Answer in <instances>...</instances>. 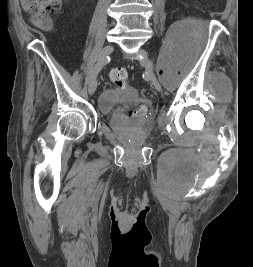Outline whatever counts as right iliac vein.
<instances>
[{"instance_id": "63e3f726", "label": "right iliac vein", "mask_w": 253, "mask_h": 267, "mask_svg": "<svg viewBox=\"0 0 253 267\" xmlns=\"http://www.w3.org/2000/svg\"><path fill=\"white\" fill-rule=\"evenodd\" d=\"M113 52V46L111 45H106L101 53H100V58H106L108 55H110ZM97 88V79L96 76L89 82V87L88 91L90 95H93L95 90Z\"/></svg>"}]
</instances>
